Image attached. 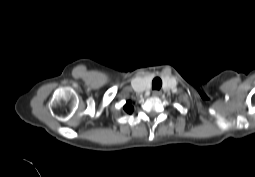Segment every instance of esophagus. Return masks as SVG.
I'll use <instances>...</instances> for the list:
<instances>
[{
	"label": "esophagus",
	"instance_id": "esophagus-1",
	"mask_svg": "<svg viewBox=\"0 0 255 177\" xmlns=\"http://www.w3.org/2000/svg\"><path fill=\"white\" fill-rule=\"evenodd\" d=\"M161 95V91H159V90H154L153 92H152V96L153 97H159Z\"/></svg>",
	"mask_w": 255,
	"mask_h": 177
}]
</instances>
